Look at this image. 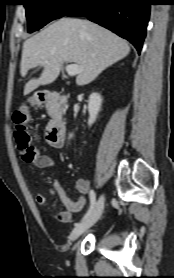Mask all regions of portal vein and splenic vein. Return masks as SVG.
Returning a JSON list of instances; mask_svg holds the SVG:
<instances>
[{"instance_id": "obj_1", "label": "portal vein and splenic vein", "mask_w": 174, "mask_h": 278, "mask_svg": "<svg viewBox=\"0 0 174 278\" xmlns=\"http://www.w3.org/2000/svg\"><path fill=\"white\" fill-rule=\"evenodd\" d=\"M66 71L70 76H74L81 73L83 71V67L77 64H69L66 66Z\"/></svg>"}]
</instances>
